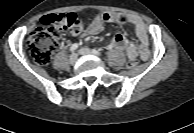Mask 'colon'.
I'll return each instance as SVG.
<instances>
[{"mask_svg":"<svg viewBox=\"0 0 194 133\" xmlns=\"http://www.w3.org/2000/svg\"><path fill=\"white\" fill-rule=\"evenodd\" d=\"M42 26L38 27L27 39L26 45L33 61L37 65H47L57 47L63 31L79 34L84 26V17L75 13L51 14L45 16ZM138 59L130 60V68L137 64Z\"/></svg>","mask_w":194,"mask_h":133,"instance_id":"1","label":"colon"}]
</instances>
